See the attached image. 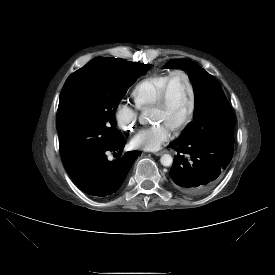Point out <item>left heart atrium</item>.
I'll return each mask as SVG.
<instances>
[{
	"label": "left heart atrium",
	"instance_id": "39dd6f15",
	"mask_svg": "<svg viewBox=\"0 0 275 275\" xmlns=\"http://www.w3.org/2000/svg\"><path fill=\"white\" fill-rule=\"evenodd\" d=\"M172 130L173 127L167 123L157 122L137 132L131 142L135 148L156 151L171 139Z\"/></svg>",
	"mask_w": 275,
	"mask_h": 275
}]
</instances>
